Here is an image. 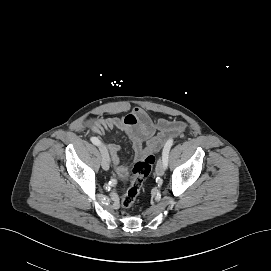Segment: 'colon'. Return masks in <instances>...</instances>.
<instances>
[{"mask_svg":"<svg viewBox=\"0 0 271 271\" xmlns=\"http://www.w3.org/2000/svg\"><path fill=\"white\" fill-rule=\"evenodd\" d=\"M155 163V157L152 154H146L133 167V177L131 184L125 192L121 205L124 209H129L135 203L145 179L149 176Z\"/></svg>","mask_w":271,"mask_h":271,"instance_id":"obj_1","label":"colon"}]
</instances>
